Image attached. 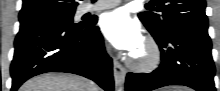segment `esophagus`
Wrapping results in <instances>:
<instances>
[{"label": "esophagus", "mask_w": 220, "mask_h": 91, "mask_svg": "<svg viewBox=\"0 0 220 91\" xmlns=\"http://www.w3.org/2000/svg\"><path fill=\"white\" fill-rule=\"evenodd\" d=\"M113 73L116 86H121L125 80L126 70L117 59H114L113 62Z\"/></svg>", "instance_id": "1"}]
</instances>
